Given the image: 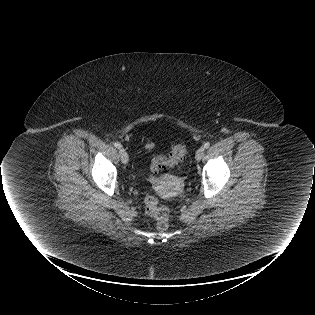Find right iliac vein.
<instances>
[{"label":"right iliac vein","instance_id":"63e3f726","mask_svg":"<svg viewBox=\"0 0 315 315\" xmlns=\"http://www.w3.org/2000/svg\"><path fill=\"white\" fill-rule=\"evenodd\" d=\"M119 154H120V158H121L122 163L123 164H127L128 163V154H127V152L123 148H121L119 150Z\"/></svg>","mask_w":315,"mask_h":315}]
</instances>
